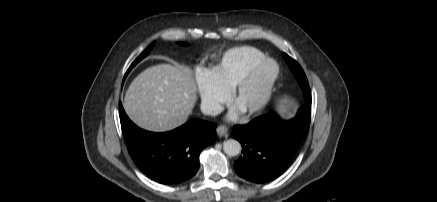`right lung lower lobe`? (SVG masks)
I'll use <instances>...</instances> for the list:
<instances>
[{"label":"right lung lower lobe","mask_w":437,"mask_h":202,"mask_svg":"<svg viewBox=\"0 0 437 202\" xmlns=\"http://www.w3.org/2000/svg\"><path fill=\"white\" fill-rule=\"evenodd\" d=\"M120 122L128 150L139 169L150 179L165 185L191 179L199 168L201 151L216 140V125L190 120L164 133L137 127L120 104Z\"/></svg>","instance_id":"obj_1"}]
</instances>
